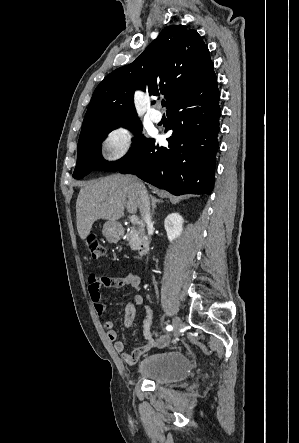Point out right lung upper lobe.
Here are the masks:
<instances>
[{
  "mask_svg": "<svg viewBox=\"0 0 299 443\" xmlns=\"http://www.w3.org/2000/svg\"><path fill=\"white\" fill-rule=\"evenodd\" d=\"M213 68L209 50L197 31L183 25L164 28L131 64L116 69L97 86L80 137L109 124L138 119L134 90L164 94L169 109L204 83Z\"/></svg>",
  "mask_w": 299,
  "mask_h": 443,
  "instance_id": "cb5924a9",
  "label": "right lung upper lobe"
}]
</instances>
